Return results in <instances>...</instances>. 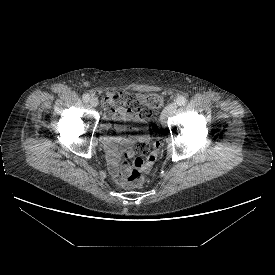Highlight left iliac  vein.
I'll use <instances>...</instances> for the list:
<instances>
[{
  "instance_id": "left-iliac-vein-1",
  "label": "left iliac vein",
  "mask_w": 275,
  "mask_h": 275,
  "mask_svg": "<svg viewBox=\"0 0 275 275\" xmlns=\"http://www.w3.org/2000/svg\"><path fill=\"white\" fill-rule=\"evenodd\" d=\"M175 111H176V105L174 103H170L168 106L164 108L160 116V121L163 126L167 125L168 117L173 115Z\"/></svg>"
}]
</instances>
